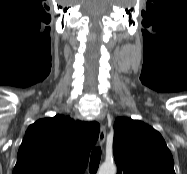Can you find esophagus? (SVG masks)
I'll return each mask as SVG.
<instances>
[{
  "instance_id": "obj_1",
  "label": "esophagus",
  "mask_w": 187,
  "mask_h": 174,
  "mask_svg": "<svg viewBox=\"0 0 187 174\" xmlns=\"http://www.w3.org/2000/svg\"><path fill=\"white\" fill-rule=\"evenodd\" d=\"M106 139V129L105 126L101 125L100 131H99V137L98 142L100 145H103Z\"/></svg>"
}]
</instances>
